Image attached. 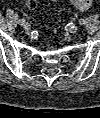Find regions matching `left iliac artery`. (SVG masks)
I'll return each instance as SVG.
<instances>
[{
	"mask_svg": "<svg viewBox=\"0 0 100 118\" xmlns=\"http://www.w3.org/2000/svg\"><path fill=\"white\" fill-rule=\"evenodd\" d=\"M79 24H80L81 26H84V25L86 24V21H85L84 19H80V20H79Z\"/></svg>",
	"mask_w": 100,
	"mask_h": 118,
	"instance_id": "1",
	"label": "left iliac artery"
}]
</instances>
